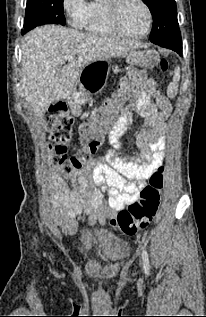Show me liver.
Instances as JSON below:
<instances>
[{"label":"liver","instance_id":"1","mask_svg":"<svg viewBox=\"0 0 206 317\" xmlns=\"http://www.w3.org/2000/svg\"><path fill=\"white\" fill-rule=\"evenodd\" d=\"M139 47V43L57 25L37 27L26 34L21 47L25 99L41 117L54 101L74 98L79 75L86 65L109 56H126ZM67 55L74 59L65 61ZM60 64H64L61 69Z\"/></svg>","mask_w":206,"mask_h":317}]
</instances>
